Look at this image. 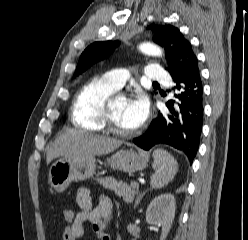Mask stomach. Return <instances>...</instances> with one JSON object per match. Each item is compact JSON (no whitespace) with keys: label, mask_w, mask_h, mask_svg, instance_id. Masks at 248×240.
Wrapping results in <instances>:
<instances>
[{"label":"stomach","mask_w":248,"mask_h":240,"mask_svg":"<svg viewBox=\"0 0 248 240\" xmlns=\"http://www.w3.org/2000/svg\"><path fill=\"white\" fill-rule=\"evenodd\" d=\"M149 155L133 149L121 150L107 158L113 169L133 173L147 166ZM96 170V159L93 156L58 159L49 169L51 187L61 193L72 181H82L93 176Z\"/></svg>","instance_id":"1"}]
</instances>
